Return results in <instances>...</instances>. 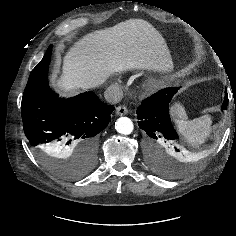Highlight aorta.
I'll return each mask as SVG.
<instances>
[{"label":"aorta","mask_w":236,"mask_h":236,"mask_svg":"<svg viewBox=\"0 0 236 236\" xmlns=\"http://www.w3.org/2000/svg\"><path fill=\"white\" fill-rule=\"evenodd\" d=\"M133 128V122L128 117H120L115 122V129L120 134L129 135L130 133H132Z\"/></svg>","instance_id":"762f6f07"}]
</instances>
